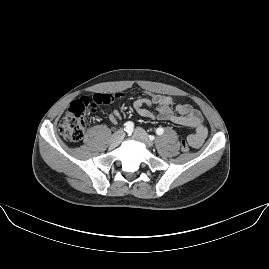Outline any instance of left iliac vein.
I'll return each mask as SVG.
<instances>
[{"label": "left iliac vein", "instance_id": "obj_1", "mask_svg": "<svg viewBox=\"0 0 269 269\" xmlns=\"http://www.w3.org/2000/svg\"><path fill=\"white\" fill-rule=\"evenodd\" d=\"M134 137L142 142L147 148H151L153 146V142L149 138L148 134L140 127L134 130Z\"/></svg>", "mask_w": 269, "mask_h": 269}]
</instances>
